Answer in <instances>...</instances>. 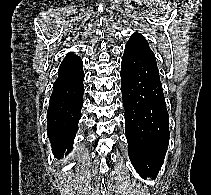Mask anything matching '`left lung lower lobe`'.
<instances>
[{"label": "left lung lower lobe", "instance_id": "0a47b994", "mask_svg": "<svg viewBox=\"0 0 211 195\" xmlns=\"http://www.w3.org/2000/svg\"><path fill=\"white\" fill-rule=\"evenodd\" d=\"M121 89L128 154L140 175H156L169 144V115L159 72L122 58Z\"/></svg>", "mask_w": 211, "mask_h": 195}]
</instances>
